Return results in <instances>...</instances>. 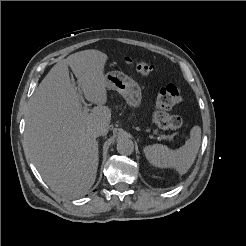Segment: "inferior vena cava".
<instances>
[{"label":"inferior vena cava","mask_w":246,"mask_h":246,"mask_svg":"<svg viewBox=\"0 0 246 246\" xmlns=\"http://www.w3.org/2000/svg\"><path fill=\"white\" fill-rule=\"evenodd\" d=\"M106 129L103 126H97L92 129V135L96 138L105 135Z\"/></svg>","instance_id":"1"}]
</instances>
